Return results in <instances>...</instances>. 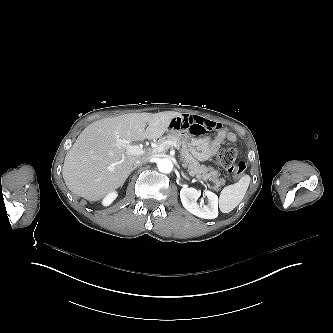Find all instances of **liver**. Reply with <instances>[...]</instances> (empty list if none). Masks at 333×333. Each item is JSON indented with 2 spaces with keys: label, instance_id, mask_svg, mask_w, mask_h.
I'll return each instance as SVG.
<instances>
[{
  "label": "liver",
  "instance_id": "6515ba94",
  "mask_svg": "<svg viewBox=\"0 0 333 333\" xmlns=\"http://www.w3.org/2000/svg\"><path fill=\"white\" fill-rule=\"evenodd\" d=\"M176 117L181 113H128L91 123L66 154L62 171L66 186L89 201H99L122 186L134 163L145 158L127 154L116 146L117 139L129 143L157 139Z\"/></svg>",
  "mask_w": 333,
  "mask_h": 333
}]
</instances>
